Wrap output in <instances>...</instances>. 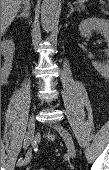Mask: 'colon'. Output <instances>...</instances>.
I'll list each match as a JSON object with an SVG mask.
<instances>
[{
  "label": "colon",
  "instance_id": "colon-1",
  "mask_svg": "<svg viewBox=\"0 0 109 170\" xmlns=\"http://www.w3.org/2000/svg\"><path fill=\"white\" fill-rule=\"evenodd\" d=\"M37 170H46V169L41 168V169H37Z\"/></svg>",
  "mask_w": 109,
  "mask_h": 170
}]
</instances>
